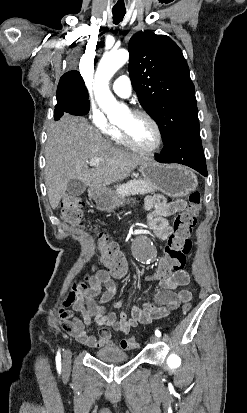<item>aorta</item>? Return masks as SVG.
Wrapping results in <instances>:
<instances>
[{"mask_svg":"<svg viewBox=\"0 0 247 413\" xmlns=\"http://www.w3.org/2000/svg\"><path fill=\"white\" fill-rule=\"evenodd\" d=\"M129 59L125 49L110 51L103 55L95 73L94 94L100 108L109 118H117L125 107L117 102L109 89L111 77Z\"/></svg>","mask_w":247,"mask_h":413,"instance_id":"1","label":"aorta"}]
</instances>
